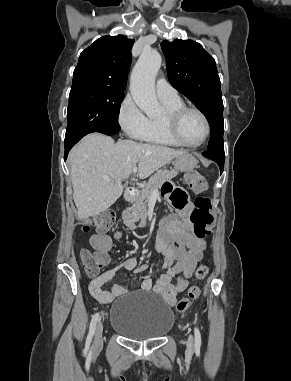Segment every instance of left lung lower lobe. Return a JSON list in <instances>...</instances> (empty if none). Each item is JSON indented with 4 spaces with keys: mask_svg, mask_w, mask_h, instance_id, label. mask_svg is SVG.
<instances>
[{
    "mask_svg": "<svg viewBox=\"0 0 291 381\" xmlns=\"http://www.w3.org/2000/svg\"><path fill=\"white\" fill-rule=\"evenodd\" d=\"M204 156H206L209 159H212L215 161L219 167H220V172L222 174L223 169H224V161H225V154L224 151H205L202 153Z\"/></svg>",
    "mask_w": 291,
    "mask_h": 381,
    "instance_id": "0a47b994",
    "label": "left lung lower lobe"
}]
</instances>
